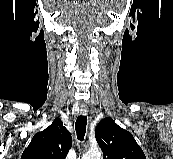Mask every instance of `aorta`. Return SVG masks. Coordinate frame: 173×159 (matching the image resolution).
<instances>
[{
	"mask_svg": "<svg viewBox=\"0 0 173 159\" xmlns=\"http://www.w3.org/2000/svg\"><path fill=\"white\" fill-rule=\"evenodd\" d=\"M101 152L98 149H91L82 156V159H101Z\"/></svg>",
	"mask_w": 173,
	"mask_h": 159,
	"instance_id": "1",
	"label": "aorta"
}]
</instances>
